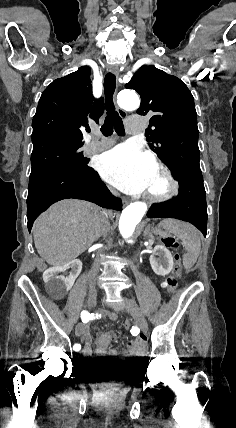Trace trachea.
<instances>
[{
  "label": "trachea",
  "mask_w": 236,
  "mask_h": 428,
  "mask_svg": "<svg viewBox=\"0 0 236 428\" xmlns=\"http://www.w3.org/2000/svg\"><path fill=\"white\" fill-rule=\"evenodd\" d=\"M116 88V77L113 73H107L104 79V92H105V107L107 110V116L105 118L104 125L101 127V132L105 136H110L115 128L118 135L123 136L125 134L124 125L118 112L115 110L113 103V94Z\"/></svg>",
  "instance_id": "1"
}]
</instances>
